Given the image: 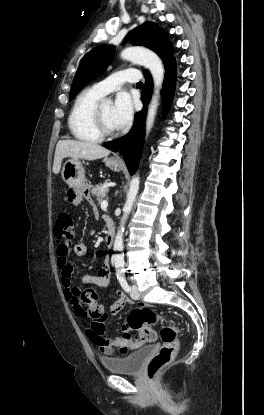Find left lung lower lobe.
<instances>
[{
	"instance_id": "left-lung-lower-lobe-1",
	"label": "left lung lower lobe",
	"mask_w": 264,
	"mask_h": 415,
	"mask_svg": "<svg viewBox=\"0 0 264 415\" xmlns=\"http://www.w3.org/2000/svg\"><path fill=\"white\" fill-rule=\"evenodd\" d=\"M145 85L142 91L141 100L144 104L143 110L135 114L132 129L125 136L104 143L103 146L114 151H120L124 157L128 170L134 174L142 152L144 136H145V119L147 114V106L150 102L153 88V81L150 74L145 75ZM176 84V61L175 58L165 64V77L163 82V114L166 115L174 95Z\"/></svg>"
}]
</instances>
